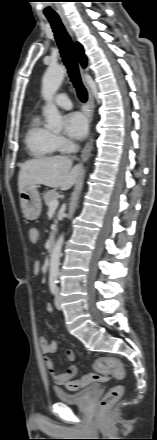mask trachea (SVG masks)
Segmentation results:
<instances>
[{
  "instance_id": "trachea-1",
  "label": "trachea",
  "mask_w": 157,
  "mask_h": 440,
  "mask_svg": "<svg viewBox=\"0 0 157 440\" xmlns=\"http://www.w3.org/2000/svg\"><path fill=\"white\" fill-rule=\"evenodd\" d=\"M48 20L53 29L62 60L67 67L70 80L76 88L80 101L84 103L87 101V91L81 81L72 40L59 18H48Z\"/></svg>"
}]
</instances>
